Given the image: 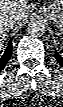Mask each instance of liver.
Returning <instances> with one entry per match:
<instances>
[{"instance_id": "obj_1", "label": "liver", "mask_w": 63, "mask_h": 107, "mask_svg": "<svg viewBox=\"0 0 63 107\" xmlns=\"http://www.w3.org/2000/svg\"><path fill=\"white\" fill-rule=\"evenodd\" d=\"M13 15L18 23L24 22L28 17V0H0V18ZM7 31L0 26V43L4 42Z\"/></svg>"}]
</instances>
